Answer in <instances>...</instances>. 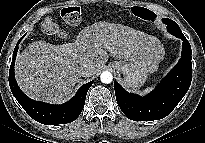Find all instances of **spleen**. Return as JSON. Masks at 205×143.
Returning <instances> with one entry per match:
<instances>
[{"label":"spleen","instance_id":"1","mask_svg":"<svg viewBox=\"0 0 205 143\" xmlns=\"http://www.w3.org/2000/svg\"><path fill=\"white\" fill-rule=\"evenodd\" d=\"M154 88L153 87H148V88H146L145 90H143V94H148V93H150L152 90H153Z\"/></svg>","mask_w":205,"mask_h":143}]
</instances>
